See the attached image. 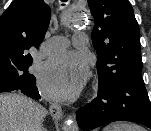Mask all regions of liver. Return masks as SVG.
<instances>
[{
    "label": "liver",
    "mask_w": 151,
    "mask_h": 131,
    "mask_svg": "<svg viewBox=\"0 0 151 131\" xmlns=\"http://www.w3.org/2000/svg\"><path fill=\"white\" fill-rule=\"evenodd\" d=\"M46 109L17 93L0 94V131H45Z\"/></svg>",
    "instance_id": "1"
}]
</instances>
